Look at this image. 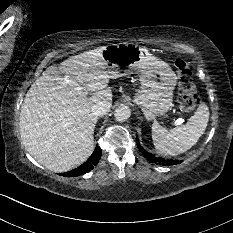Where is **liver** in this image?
Masks as SVG:
<instances>
[{"mask_svg":"<svg viewBox=\"0 0 233 233\" xmlns=\"http://www.w3.org/2000/svg\"><path fill=\"white\" fill-rule=\"evenodd\" d=\"M105 48L48 67L31 85L22 103V143L38 163L51 171L66 172L81 165L94 149L98 117L91 109L99 102L112 105L108 87L111 75L102 58ZM89 92H93L90 97Z\"/></svg>","mask_w":233,"mask_h":233,"instance_id":"obj_1","label":"liver"}]
</instances>
